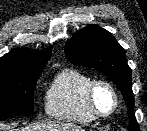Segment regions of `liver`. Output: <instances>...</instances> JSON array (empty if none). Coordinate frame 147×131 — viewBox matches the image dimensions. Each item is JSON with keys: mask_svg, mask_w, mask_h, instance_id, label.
<instances>
[{"mask_svg": "<svg viewBox=\"0 0 147 131\" xmlns=\"http://www.w3.org/2000/svg\"><path fill=\"white\" fill-rule=\"evenodd\" d=\"M16 131H84L81 127L64 122H37Z\"/></svg>", "mask_w": 147, "mask_h": 131, "instance_id": "6515ba94", "label": "liver"}]
</instances>
